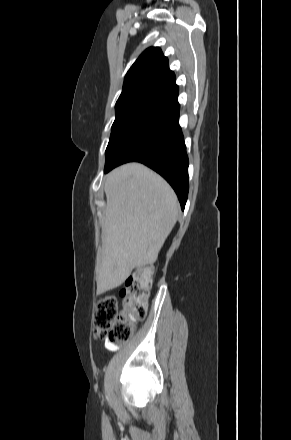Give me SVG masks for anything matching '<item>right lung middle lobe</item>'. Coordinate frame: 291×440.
Segmentation results:
<instances>
[{"instance_id": "right-lung-middle-lobe-1", "label": "right lung middle lobe", "mask_w": 291, "mask_h": 440, "mask_svg": "<svg viewBox=\"0 0 291 440\" xmlns=\"http://www.w3.org/2000/svg\"><path fill=\"white\" fill-rule=\"evenodd\" d=\"M152 102L151 99H136L116 104V118L112 125L110 140L105 152L104 172L109 167L119 147L140 122Z\"/></svg>"}]
</instances>
